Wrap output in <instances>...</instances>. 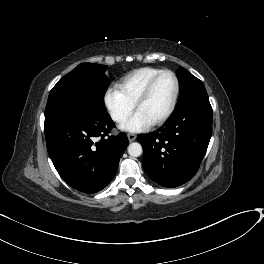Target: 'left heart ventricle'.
<instances>
[{
    "mask_svg": "<svg viewBox=\"0 0 264 264\" xmlns=\"http://www.w3.org/2000/svg\"><path fill=\"white\" fill-rule=\"evenodd\" d=\"M175 82L170 74L162 75L155 83L148 99L137 109L150 122L157 120L168 109L173 98Z\"/></svg>",
    "mask_w": 264,
    "mask_h": 264,
    "instance_id": "left-heart-ventricle-1",
    "label": "left heart ventricle"
}]
</instances>
